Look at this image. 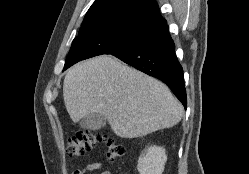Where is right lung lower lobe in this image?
<instances>
[{
  "mask_svg": "<svg viewBox=\"0 0 249 174\" xmlns=\"http://www.w3.org/2000/svg\"><path fill=\"white\" fill-rule=\"evenodd\" d=\"M136 69L169 86L186 109L183 69L165 20L148 27L144 38L132 47L112 54Z\"/></svg>",
  "mask_w": 249,
  "mask_h": 174,
  "instance_id": "98d812e1",
  "label": "right lung lower lobe"
}]
</instances>
